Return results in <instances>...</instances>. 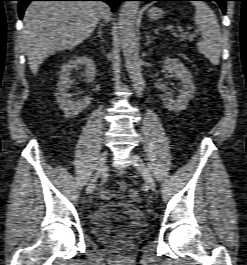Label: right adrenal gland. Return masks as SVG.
Returning <instances> with one entry per match:
<instances>
[{
    "label": "right adrenal gland",
    "instance_id": "1",
    "mask_svg": "<svg viewBox=\"0 0 247 265\" xmlns=\"http://www.w3.org/2000/svg\"><path fill=\"white\" fill-rule=\"evenodd\" d=\"M102 28H103V24H101L99 27H98V33H97V36L96 37H99L103 40V37H102ZM95 37V38H96Z\"/></svg>",
    "mask_w": 247,
    "mask_h": 265
}]
</instances>
